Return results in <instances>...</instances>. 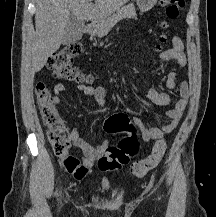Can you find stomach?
Returning a JSON list of instances; mask_svg holds the SVG:
<instances>
[{
    "mask_svg": "<svg viewBox=\"0 0 216 217\" xmlns=\"http://www.w3.org/2000/svg\"><path fill=\"white\" fill-rule=\"evenodd\" d=\"M158 0H136V3L142 13L152 9Z\"/></svg>",
    "mask_w": 216,
    "mask_h": 217,
    "instance_id": "stomach-1",
    "label": "stomach"
}]
</instances>
